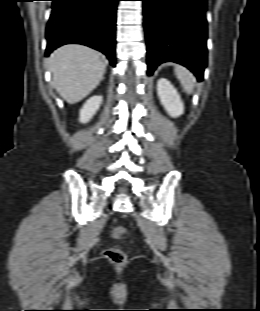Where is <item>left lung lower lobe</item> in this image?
Instances as JSON below:
<instances>
[{"mask_svg": "<svg viewBox=\"0 0 260 311\" xmlns=\"http://www.w3.org/2000/svg\"><path fill=\"white\" fill-rule=\"evenodd\" d=\"M148 75L163 62H176L203 78L206 67V0H142Z\"/></svg>", "mask_w": 260, "mask_h": 311, "instance_id": "1", "label": "left lung lower lobe"}]
</instances>
